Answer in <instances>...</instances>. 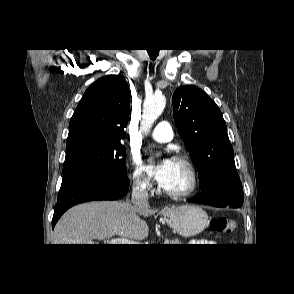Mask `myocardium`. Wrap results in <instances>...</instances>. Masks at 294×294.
<instances>
[{
    "instance_id": "obj_1",
    "label": "myocardium",
    "mask_w": 294,
    "mask_h": 294,
    "mask_svg": "<svg viewBox=\"0 0 294 294\" xmlns=\"http://www.w3.org/2000/svg\"><path fill=\"white\" fill-rule=\"evenodd\" d=\"M174 161L178 162L182 166H184L189 175V184L187 188L181 191H169L164 189L162 186L160 187V192L168 197L171 198H185L190 196L198 185V173L194 163L184 156H177L175 157Z\"/></svg>"
}]
</instances>
